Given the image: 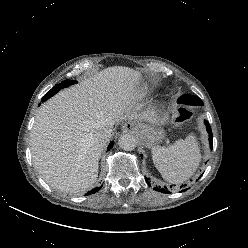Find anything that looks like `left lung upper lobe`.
<instances>
[{
	"label": "left lung upper lobe",
	"instance_id": "1",
	"mask_svg": "<svg viewBox=\"0 0 248 248\" xmlns=\"http://www.w3.org/2000/svg\"><path fill=\"white\" fill-rule=\"evenodd\" d=\"M178 103L190 105H202L203 102L200 98L193 95H183L178 99Z\"/></svg>",
	"mask_w": 248,
	"mask_h": 248
}]
</instances>
